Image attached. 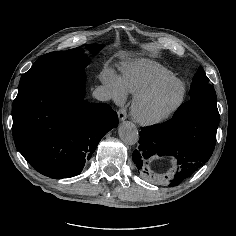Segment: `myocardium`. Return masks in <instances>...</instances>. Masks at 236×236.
<instances>
[{
  "label": "myocardium",
  "mask_w": 236,
  "mask_h": 236,
  "mask_svg": "<svg viewBox=\"0 0 236 236\" xmlns=\"http://www.w3.org/2000/svg\"><path fill=\"white\" fill-rule=\"evenodd\" d=\"M173 83L179 84L181 88L177 99L164 112L156 116H148L144 114L141 109L143 102L147 100L151 95H153L156 91H158L160 88ZM185 96H186V86L184 82L181 81L180 79L168 78L157 81L149 85L148 87L142 89L135 95L131 104L132 118L136 123L142 126L151 127L162 124L178 111V109L181 107L184 101Z\"/></svg>",
  "instance_id": "f54148a6"
}]
</instances>
